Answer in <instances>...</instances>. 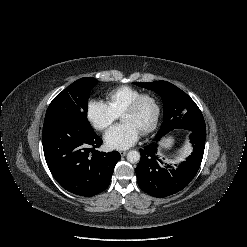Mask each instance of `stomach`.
Segmentation results:
<instances>
[{"mask_svg": "<svg viewBox=\"0 0 247 247\" xmlns=\"http://www.w3.org/2000/svg\"><path fill=\"white\" fill-rule=\"evenodd\" d=\"M172 143H173V139L171 137H168L162 141L161 146L163 148H168L172 145Z\"/></svg>", "mask_w": 247, "mask_h": 247, "instance_id": "obj_1", "label": "stomach"}]
</instances>
